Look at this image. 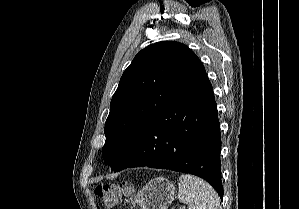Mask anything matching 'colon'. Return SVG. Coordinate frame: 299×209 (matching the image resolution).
Instances as JSON below:
<instances>
[{
    "label": "colon",
    "instance_id": "1",
    "mask_svg": "<svg viewBox=\"0 0 299 209\" xmlns=\"http://www.w3.org/2000/svg\"><path fill=\"white\" fill-rule=\"evenodd\" d=\"M94 193L108 206H112L129 197L133 193V187L129 183H105L98 185Z\"/></svg>",
    "mask_w": 299,
    "mask_h": 209
}]
</instances>
